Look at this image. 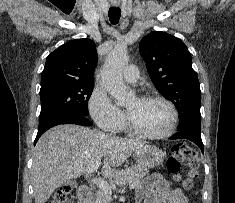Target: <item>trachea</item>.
<instances>
[{
    "mask_svg": "<svg viewBox=\"0 0 235 203\" xmlns=\"http://www.w3.org/2000/svg\"><path fill=\"white\" fill-rule=\"evenodd\" d=\"M109 20L112 24H117L121 17V10L118 7H111L108 12Z\"/></svg>",
    "mask_w": 235,
    "mask_h": 203,
    "instance_id": "obj_1",
    "label": "trachea"
}]
</instances>
